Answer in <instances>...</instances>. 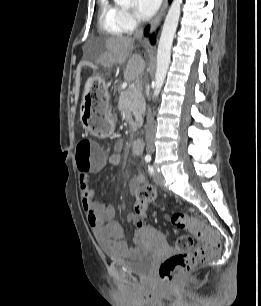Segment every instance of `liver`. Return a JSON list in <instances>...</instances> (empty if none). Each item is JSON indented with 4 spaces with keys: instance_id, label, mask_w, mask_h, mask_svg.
I'll use <instances>...</instances> for the list:
<instances>
[{
    "instance_id": "obj_1",
    "label": "liver",
    "mask_w": 261,
    "mask_h": 306,
    "mask_svg": "<svg viewBox=\"0 0 261 306\" xmlns=\"http://www.w3.org/2000/svg\"><path fill=\"white\" fill-rule=\"evenodd\" d=\"M135 40L131 37L117 36L105 39L102 47L105 53L98 59V63L111 66L126 63L124 79L132 81L143 74L145 62L138 54H131Z\"/></svg>"
}]
</instances>
